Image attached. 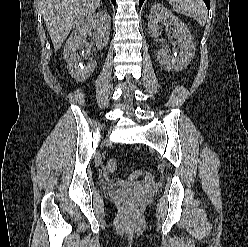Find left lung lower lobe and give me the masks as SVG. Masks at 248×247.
<instances>
[{"mask_svg": "<svg viewBox=\"0 0 248 247\" xmlns=\"http://www.w3.org/2000/svg\"><path fill=\"white\" fill-rule=\"evenodd\" d=\"M209 10V0H203ZM144 0H139V7L141 8L142 4H143Z\"/></svg>", "mask_w": 248, "mask_h": 247, "instance_id": "left-lung-lower-lobe-1", "label": "left lung lower lobe"}]
</instances>
